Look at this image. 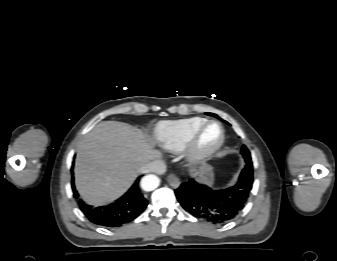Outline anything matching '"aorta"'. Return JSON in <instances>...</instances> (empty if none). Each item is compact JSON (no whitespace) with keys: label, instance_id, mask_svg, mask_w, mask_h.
<instances>
[{"label":"aorta","instance_id":"1","mask_svg":"<svg viewBox=\"0 0 337 261\" xmlns=\"http://www.w3.org/2000/svg\"><path fill=\"white\" fill-rule=\"evenodd\" d=\"M160 184V180L155 175H147L141 180V187L145 191H153Z\"/></svg>","mask_w":337,"mask_h":261}]
</instances>
